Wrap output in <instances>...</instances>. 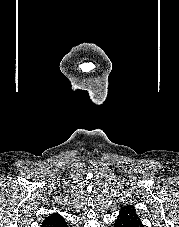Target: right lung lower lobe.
Listing matches in <instances>:
<instances>
[{"mask_svg": "<svg viewBox=\"0 0 179 227\" xmlns=\"http://www.w3.org/2000/svg\"><path fill=\"white\" fill-rule=\"evenodd\" d=\"M62 227H67V225L65 224L64 226H62Z\"/></svg>", "mask_w": 179, "mask_h": 227, "instance_id": "obj_1", "label": "right lung lower lobe"}]
</instances>
